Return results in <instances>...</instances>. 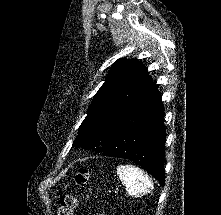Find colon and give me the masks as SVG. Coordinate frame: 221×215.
<instances>
[{
	"mask_svg": "<svg viewBox=\"0 0 221 215\" xmlns=\"http://www.w3.org/2000/svg\"><path fill=\"white\" fill-rule=\"evenodd\" d=\"M89 173L86 168H79L72 177V182L75 185H83L87 182ZM77 207V200L73 195L65 194L59 199V206L56 215H73ZM102 215V214H99Z\"/></svg>",
	"mask_w": 221,
	"mask_h": 215,
	"instance_id": "colon-1",
	"label": "colon"
}]
</instances>
